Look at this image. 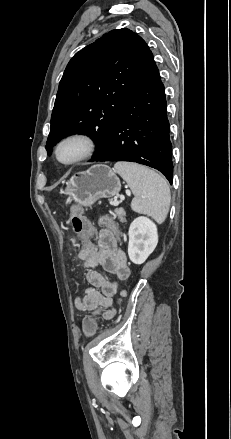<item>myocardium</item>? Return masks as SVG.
Segmentation results:
<instances>
[{
  "label": "myocardium",
  "instance_id": "obj_1",
  "mask_svg": "<svg viewBox=\"0 0 231 439\" xmlns=\"http://www.w3.org/2000/svg\"><path fill=\"white\" fill-rule=\"evenodd\" d=\"M71 141H79L83 144L84 149L83 152L77 156L76 158L69 160V161H63L60 159L59 152L63 145H65L68 142ZM97 144L95 139L88 133L85 132H72L65 136H63L55 145L54 147V157L55 160L63 165V166H72L76 165L80 162H83L90 158L94 152L96 151Z\"/></svg>",
  "mask_w": 231,
  "mask_h": 439
}]
</instances>
